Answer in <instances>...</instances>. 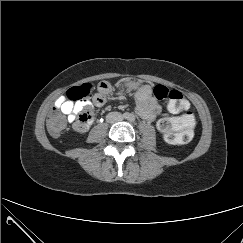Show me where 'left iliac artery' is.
<instances>
[{
    "label": "left iliac artery",
    "mask_w": 243,
    "mask_h": 243,
    "mask_svg": "<svg viewBox=\"0 0 243 243\" xmlns=\"http://www.w3.org/2000/svg\"><path fill=\"white\" fill-rule=\"evenodd\" d=\"M129 120H130L131 122H133V121L135 120V117L132 115V116L129 117Z\"/></svg>",
    "instance_id": "left-iliac-artery-1"
}]
</instances>
